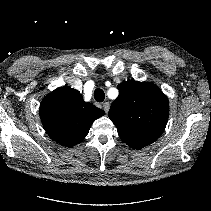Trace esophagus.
Returning a JSON list of instances; mask_svg holds the SVG:
<instances>
[{"mask_svg":"<svg viewBox=\"0 0 211 211\" xmlns=\"http://www.w3.org/2000/svg\"><path fill=\"white\" fill-rule=\"evenodd\" d=\"M109 108H110V103L109 102L103 103V110L105 111V113H108Z\"/></svg>","mask_w":211,"mask_h":211,"instance_id":"obj_1","label":"esophagus"}]
</instances>
